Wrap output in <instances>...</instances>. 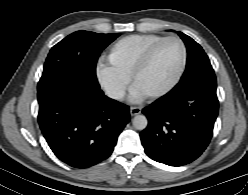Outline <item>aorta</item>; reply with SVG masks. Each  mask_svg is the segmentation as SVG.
Returning <instances> with one entry per match:
<instances>
[{
    "instance_id": "762f6f07",
    "label": "aorta",
    "mask_w": 248,
    "mask_h": 195,
    "mask_svg": "<svg viewBox=\"0 0 248 195\" xmlns=\"http://www.w3.org/2000/svg\"><path fill=\"white\" fill-rule=\"evenodd\" d=\"M133 127L137 130H144L148 125V120L144 115H136L132 120Z\"/></svg>"
}]
</instances>
